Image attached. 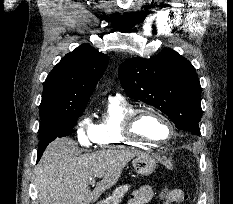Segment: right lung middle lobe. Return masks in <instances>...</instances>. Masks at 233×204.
Returning a JSON list of instances; mask_svg holds the SVG:
<instances>
[{
	"mask_svg": "<svg viewBox=\"0 0 233 204\" xmlns=\"http://www.w3.org/2000/svg\"><path fill=\"white\" fill-rule=\"evenodd\" d=\"M84 109L71 111L62 115H53L41 119L39 146L48 145L57 137L68 136L72 133L73 127L83 113Z\"/></svg>",
	"mask_w": 233,
	"mask_h": 204,
	"instance_id": "dd1d6c3e",
	"label": "right lung middle lobe"
}]
</instances>
